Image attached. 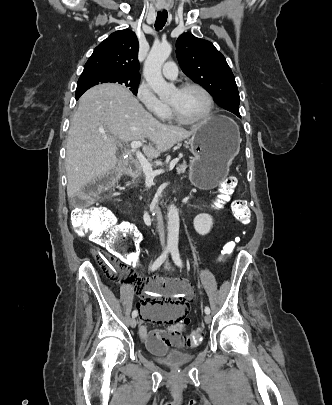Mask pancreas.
<instances>
[{"label": "pancreas", "mask_w": 332, "mask_h": 405, "mask_svg": "<svg viewBox=\"0 0 332 405\" xmlns=\"http://www.w3.org/2000/svg\"><path fill=\"white\" fill-rule=\"evenodd\" d=\"M187 166H188V165L185 164V163L179 165V166L176 168L178 174H182V173L185 171V169L187 168Z\"/></svg>", "instance_id": "cf45deb5"}]
</instances>
